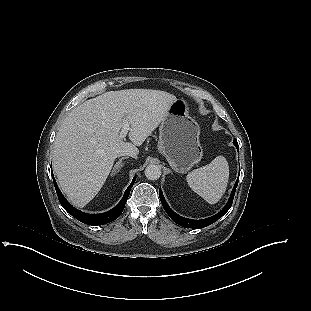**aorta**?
I'll return each instance as SVG.
<instances>
[{"mask_svg": "<svg viewBox=\"0 0 311 311\" xmlns=\"http://www.w3.org/2000/svg\"><path fill=\"white\" fill-rule=\"evenodd\" d=\"M145 176L148 180H157L161 176V168L158 165L150 164L145 169Z\"/></svg>", "mask_w": 311, "mask_h": 311, "instance_id": "1", "label": "aorta"}]
</instances>
